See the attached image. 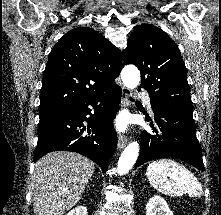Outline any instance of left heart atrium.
Masks as SVG:
<instances>
[{
	"mask_svg": "<svg viewBox=\"0 0 221 215\" xmlns=\"http://www.w3.org/2000/svg\"><path fill=\"white\" fill-rule=\"evenodd\" d=\"M117 126H118L119 129H123L125 127V120L123 118H120L117 121Z\"/></svg>",
	"mask_w": 221,
	"mask_h": 215,
	"instance_id": "39dd6f15",
	"label": "left heart atrium"
}]
</instances>
